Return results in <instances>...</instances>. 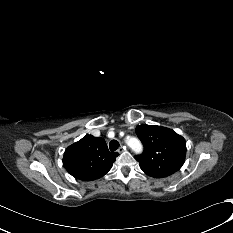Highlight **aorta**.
<instances>
[{
	"instance_id": "aorta-1",
	"label": "aorta",
	"mask_w": 233,
	"mask_h": 233,
	"mask_svg": "<svg viewBox=\"0 0 233 233\" xmlns=\"http://www.w3.org/2000/svg\"><path fill=\"white\" fill-rule=\"evenodd\" d=\"M127 143L135 152H140L142 149L140 142L136 138H130Z\"/></svg>"
}]
</instances>
